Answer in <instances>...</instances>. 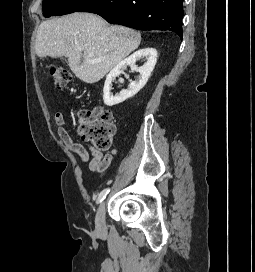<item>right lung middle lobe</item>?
Masks as SVG:
<instances>
[{
  "mask_svg": "<svg viewBox=\"0 0 255 272\" xmlns=\"http://www.w3.org/2000/svg\"><path fill=\"white\" fill-rule=\"evenodd\" d=\"M91 0H44V17L65 15L77 12Z\"/></svg>",
  "mask_w": 255,
  "mask_h": 272,
  "instance_id": "obj_1",
  "label": "right lung middle lobe"
}]
</instances>
